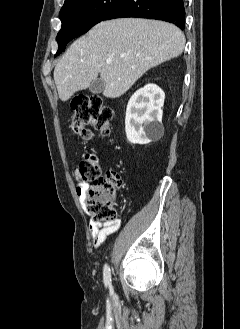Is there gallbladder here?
Returning a JSON list of instances; mask_svg holds the SVG:
<instances>
[{
  "instance_id": "bac80fb5",
  "label": "gallbladder",
  "mask_w": 240,
  "mask_h": 329,
  "mask_svg": "<svg viewBox=\"0 0 240 329\" xmlns=\"http://www.w3.org/2000/svg\"><path fill=\"white\" fill-rule=\"evenodd\" d=\"M105 89V82L102 78H96L94 79L89 86L90 92L93 94H99L102 93Z\"/></svg>"
}]
</instances>
